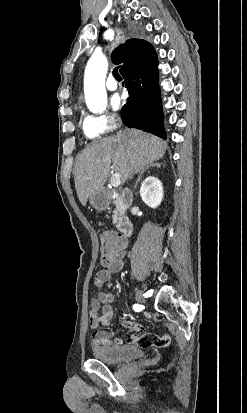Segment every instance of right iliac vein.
<instances>
[{
  "label": "right iliac vein",
  "instance_id": "1",
  "mask_svg": "<svg viewBox=\"0 0 247 413\" xmlns=\"http://www.w3.org/2000/svg\"><path fill=\"white\" fill-rule=\"evenodd\" d=\"M135 299H136L137 302H140V303L145 301L144 295L139 290H136Z\"/></svg>",
  "mask_w": 247,
  "mask_h": 413
}]
</instances>
